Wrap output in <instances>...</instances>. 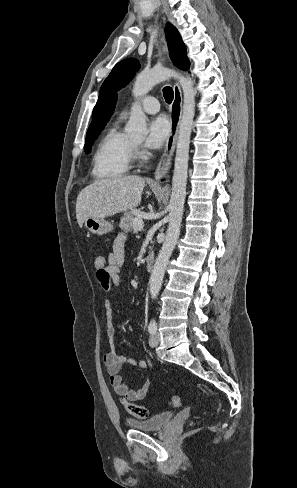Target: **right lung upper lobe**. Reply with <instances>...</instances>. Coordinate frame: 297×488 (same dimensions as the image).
<instances>
[{"label":"right lung upper lobe","instance_id":"right-lung-upper-lobe-1","mask_svg":"<svg viewBox=\"0 0 297 488\" xmlns=\"http://www.w3.org/2000/svg\"><path fill=\"white\" fill-rule=\"evenodd\" d=\"M116 101L117 95L115 94L106 102L100 112L95 116L94 120L88 128L87 136L91 135L95 130L105 125L109 121L111 115L114 112Z\"/></svg>","mask_w":297,"mask_h":488}]
</instances>
